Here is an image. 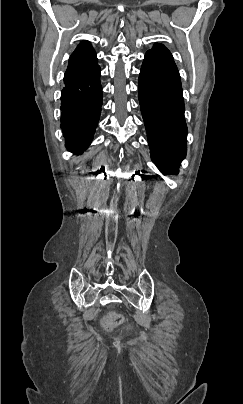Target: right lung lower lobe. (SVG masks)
Wrapping results in <instances>:
<instances>
[{
    "label": "right lung lower lobe",
    "mask_w": 243,
    "mask_h": 404,
    "mask_svg": "<svg viewBox=\"0 0 243 404\" xmlns=\"http://www.w3.org/2000/svg\"><path fill=\"white\" fill-rule=\"evenodd\" d=\"M102 106L100 67L64 80L61 92V128L66 148L75 154L90 145Z\"/></svg>",
    "instance_id": "right-lung-lower-lobe-1"
}]
</instances>
